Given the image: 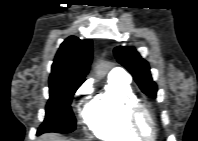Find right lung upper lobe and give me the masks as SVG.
I'll list each match as a JSON object with an SVG mask.
<instances>
[{
    "label": "right lung upper lobe",
    "instance_id": "1",
    "mask_svg": "<svg viewBox=\"0 0 198 141\" xmlns=\"http://www.w3.org/2000/svg\"><path fill=\"white\" fill-rule=\"evenodd\" d=\"M92 60V40L68 37L54 59L49 82L85 81Z\"/></svg>",
    "mask_w": 198,
    "mask_h": 141
}]
</instances>
